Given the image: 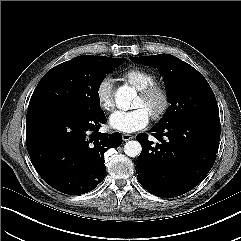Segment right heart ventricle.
<instances>
[{
	"mask_svg": "<svg viewBox=\"0 0 241 241\" xmlns=\"http://www.w3.org/2000/svg\"><path fill=\"white\" fill-rule=\"evenodd\" d=\"M122 78L137 90L156 83V76L153 72L139 67L126 70L123 72Z\"/></svg>",
	"mask_w": 241,
	"mask_h": 241,
	"instance_id": "right-heart-ventricle-1",
	"label": "right heart ventricle"
}]
</instances>
